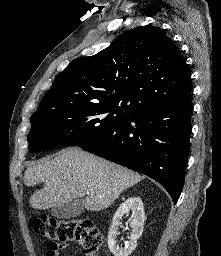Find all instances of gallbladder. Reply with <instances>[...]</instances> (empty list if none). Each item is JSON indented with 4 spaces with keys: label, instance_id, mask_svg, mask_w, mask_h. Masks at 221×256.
Here are the masks:
<instances>
[{
    "label": "gallbladder",
    "instance_id": "bac80fb5",
    "mask_svg": "<svg viewBox=\"0 0 221 256\" xmlns=\"http://www.w3.org/2000/svg\"><path fill=\"white\" fill-rule=\"evenodd\" d=\"M84 210L83 202L81 199L75 200L73 203L61 204L51 209V214L56 218L70 219L78 217Z\"/></svg>",
    "mask_w": 221,
    "mask_h": 256
}]
</instances>
